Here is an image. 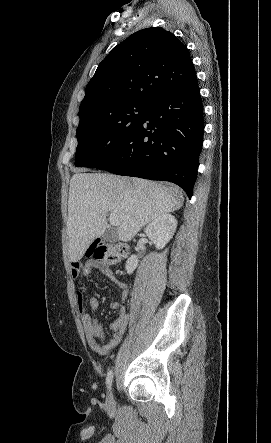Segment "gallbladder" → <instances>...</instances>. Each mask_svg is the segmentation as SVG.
Masks as SVG:
<instances>
[{
	"label": "gallbladder",
	"mask_w": 271,
	"mask_h": 443,
	"mask_svg": "<svg viewBox=\"0 0 271 443\" xmlns=\"http://www.w3.org/2000/svg\"><path fill=\"white\" fill-rule=\"evenodd\" d=\"M103 239H105V241H111V243H114V241H117L118 239L117 231H111V229H109V231L104 233Z\"/></svg>",
	"instance_id": "bac80fb5"
}]
</instances>
